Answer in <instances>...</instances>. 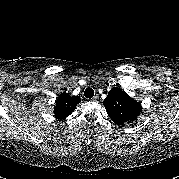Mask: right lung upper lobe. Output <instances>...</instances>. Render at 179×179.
<instances>
[{
	"label": "right lung upper lobe",
	"instance_id": "cb5924a9",
	"mask_svg": "<svg viewBox=\"0 0 179 179\" xmlns=\"http://www.w3.org/2000/svg\"><path fill=\"white\" fill-rule=\"evenodd\" d=\"M80 101L81 99L78 96H70L69 93L60 94L54 108L55 117L58 119H65L72 114Z\"/></svg>",
	"mask_w": 179,
	"mask_h": 179
}]
</instances>
